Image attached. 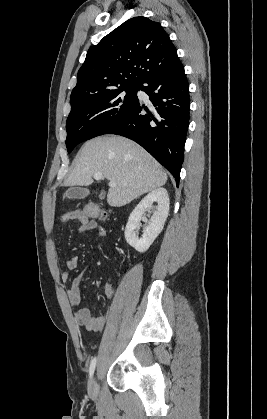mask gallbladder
<instances>
[{
	"mask_svg": "<svg viewBox=\"0 0 267 419\" xmlns=\"http://www.w3.org/2000/svg\"><path fill=\"white\" fill-rule=\"evenodd\" d=\"M88 194H89V192L82 187L70 188L66 192V196L68 198H72V199H84ZM101 197L103 198V196H101Z\"/></svg>",
	"mask_w": 267,
	"mask_h": 419,
	"instance_id": "obj_1",
	"label": "gallbladder"
}]
</instances>
